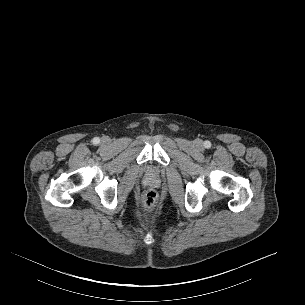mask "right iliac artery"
<instances>
[{
    "mask_svg": "<svg viewBox=\"0 0 305 305\" xmlns=\"http://www.w3.org/2000/svg\"><path fill=\"white\" fill-rule=\"evenodd\" d=\"M100 142V139L98 138V137H95L94 139H93V144H98Z\"/></svg>",
    "mask_w": 305,
    "mask_h": 305,
    "instance_id": "82829eb1",
    "label": "right iliac artery"
}]
</instances>
